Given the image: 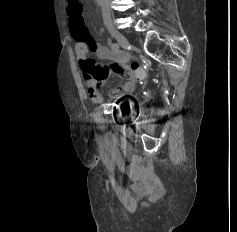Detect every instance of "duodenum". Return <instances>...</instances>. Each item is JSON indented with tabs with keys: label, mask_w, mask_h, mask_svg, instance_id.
Masks as SVG:
<instances>
[{
	"label": "duodenum",
	"mask_w": 237,
	"mask_h": 232,
	"mask_svg": "<svg viewBox=\"0 0 237 232\" xmlns=\"http://www.w3.org/2000/svg\"><path fill=\"white\" fill-rule=\"evenodd\" d=\"M99 5L102 3V0H95Z\"/></svg>",
	"instance_id": "410a0bca"
}]
</instances>
